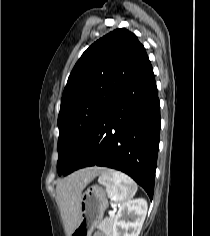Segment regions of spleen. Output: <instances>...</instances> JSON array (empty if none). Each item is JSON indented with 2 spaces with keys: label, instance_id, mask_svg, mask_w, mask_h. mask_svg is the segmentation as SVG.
<instances>
[{
  "label": "spleen",
  "instance_id": "1",
  "mask_svg": "<svg viewBox=\"0 0 210 236\" xmlns=\"http://www.w3.org/2000/svg\"><path fill=\"white\" fill-rule=\"evenodd\" d=\"M99 183L106 186L109 198L117 203H124L135 195L137 185L128 175L107 169L103 171L98 179Z\"/></svg>",
  "mask_w": 210,
  "mask_h": 236
}]
</instances>
